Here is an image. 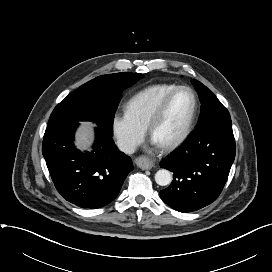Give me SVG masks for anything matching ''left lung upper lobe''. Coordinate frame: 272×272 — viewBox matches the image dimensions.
<instances>
[{"label": "left lung upper lobe", "instance_id": "5c2ea615", "mask_svg": "<svg viewBox=\"0 0 272 272\" xmlns=\"http://www.w3.org/2000/svg\"><path fill=\"white\" fill-rule=\"evenodd\" d=\"M192 83L198 92L201 102V113L196 128L213 122L231 119L228 110L210 89L195 79H192Z\"/></svg>", "mask_w": 272, "mask_h": 272}]
</instances>
